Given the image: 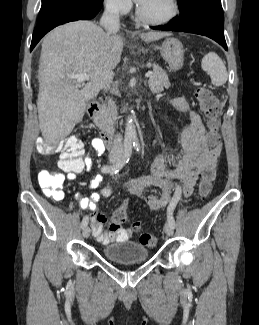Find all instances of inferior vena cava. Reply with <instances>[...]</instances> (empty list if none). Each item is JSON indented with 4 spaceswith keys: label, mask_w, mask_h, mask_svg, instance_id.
I'll list each match as a JSON object with an SVG mask.
<instances>
[{
    "label": "inferior vena cava",
    "mask_w": 259,
    "mask_h": 325,
    "mask_svg": "<svg viewBox=\"0 0 259 325\" xmlns=\"http://www.w3.org/2000/svg\"><path fill=\"white\" fill-rule=\"evenodd\" d=\"M100 25L107 31H117L120 27L119 6L117 3H110L106 6L100 19ZM123 148L122 137L120 134L115 136L113 151Z\"/></svg>",
    "instance_id": "inferior-vena-cava-1"
}]
</instances>
